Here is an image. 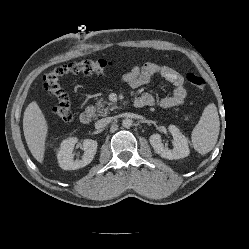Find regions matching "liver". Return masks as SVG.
Listing matches in <instances>:
<instances>
[{
    "label": "liver",
    "instance_id": "liver-1",
    "mask_svg": "<svg viewBox=\"0 0 249 249\" xmlns=\"http://www.w3.org/2000/svg\"><path fill=\"white\" fill-rule=\"evenodd\" d=\"M23 131L31 154L38 162L42 163L48 124L36 101L31 102L24 111Z\"/></svg>",
    "mask_w": 249,
    "mask_h": 249
}]
</instances>
